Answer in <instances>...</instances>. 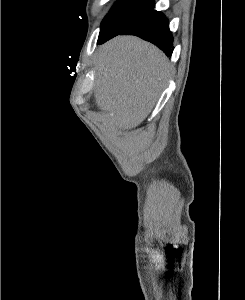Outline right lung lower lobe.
<instances>
[{
	"mask_svg": "<svg viewBox=\"0 0 245 300\" xmlns=\"http://www.w3.org/2000/svg\"><path fill=\"white\" fill-rule=\"evenodd\" d=\"M136 35L147 40L159 47L167 56L173 52V36L169 30L167 18L158 11L153 10L151 13L138 20L131 26L118 34L106 36L98 40L102 44L116 35Z\"/></svg>",
	"mask_w": 245,
	"mask_h": 300,
	"instance_id": "1",
	"label": "right lung lower lobe"
}]
</instances>
